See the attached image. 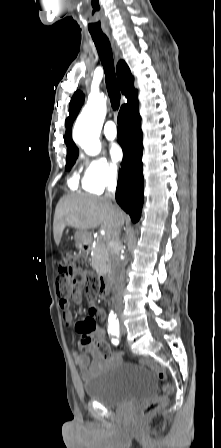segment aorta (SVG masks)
I'll return each instance as SVG.
<instances>
[{"instance_id":"762f6f07","label":"aorta","mask_w":221,"mask_h":448,"mask_svg":"<svg viewBox=\"0 0 221 448\" xmlns=\"http://www.w3.org/2000/svg\"><path fill=\"white\" fill-rule=\"evenodd\" d=\"M106 108V100L102 96H94L76 120L73 139L88 155L95 156L101 151L99 136Z\"/></svg>"}]
</instances>
